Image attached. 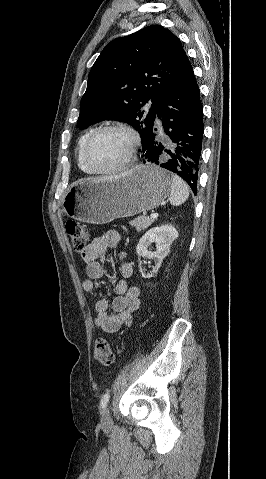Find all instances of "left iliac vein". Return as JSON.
Segmentation results:
<instances>
[{"label": "left iliac vein", "mask_w": 266, "mask_h": 479, "mask_svg": "<svg viewBox=\"0 0 266 479\" xmlns=\"http://www.w3.org/2000/svg\"><path fill=\"white\" fill-rule=\"evenodd\" d=\"M101 423L104 427H110L113 423L111 414L108 408H105L103 411Z\"/></svg>", "instance_id": "left-iliac-vein-1"}]
</instances>
